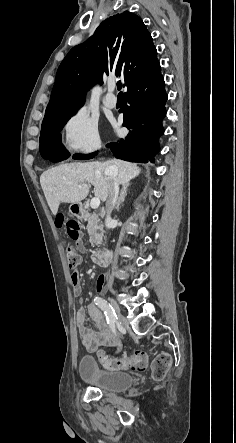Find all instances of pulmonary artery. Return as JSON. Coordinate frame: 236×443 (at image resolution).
<instances>
[{"label": "pulmonary artery", "instance_id": "pulmonary-artery-1", "mask_svg": "<svg viewBox=\"0 0 236 443\" xmlns=\"http://www.w3.org/2000/svg\"><path fill=\"white\" fill-rule=\"evenodd\" d=\"M115 88H116L115 83L110 82L108 85V91L104 95V97L102 98V102H103L104 106H106L107 108H110V109H112L116 106V100L111 98L113 96Z\"/></svg>", "mask_w": 236, "mask_h": 443}]
</instances>
